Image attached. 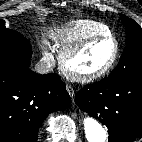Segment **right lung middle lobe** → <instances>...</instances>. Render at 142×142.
<instances>
[{
    "label": "right lung middle lobe",
    "mask_w": 142,
    "mask_h": 142,
    "mask_svg": "<svg viewBox=\"0 0 142 142\" xmlns=\"http://www.w3.org/2000/svg\"><path fill=\"white\" fill-rule=\"evenodd\" d=\"M32 49L29 41L19 32L5 27L0 20V63L16 62L30 66Z\"/></svg>",
    "instance_id": "right-lung-middle-lobe-1"
}]
</instances>
